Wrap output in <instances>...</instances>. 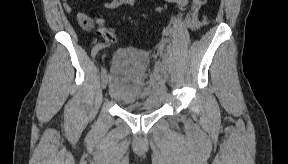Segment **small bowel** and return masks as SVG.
Returning a JSON list of instances; mask_svg holds the SVG:
<instances>
[{
  "label": "small bowel",
  "instance_id": "1",
  "mask_svg": "<svg viewBox=\"0 0 288 164\" xmlns=\"http://www.w3.org/2000/svg\"><path fill=\"white\" fill-rule=\"evenodd\" d=\"M115 6H116L115 3L107 4V7H109V8H113V7H115ZM81 14H82V13H79V14L77 15V18H78Z\"/></svg>",
  "mask_w": 288,
  "mask_h": 164
}]
</instances>
